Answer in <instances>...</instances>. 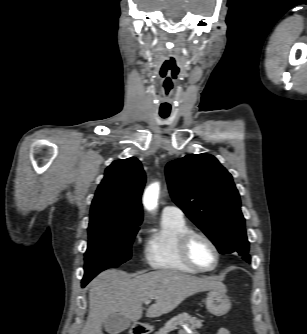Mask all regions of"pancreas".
<instances>
[{"label":"pancreas","instance_id":"obj_1","mask_svg":"<svg viewBox=\"0 0 307 334\" xmlns=\"http://www.w3.org/2000/svg\"><path fill=\"white\" fill-rule=\"evenodd\" d=\"M186 325L190 329H199L202 327V320L192 317L188 313H182L170 319L164 327L160 328L154 334H168L171 331L177 330L179 326Z\"/></svg>","mask_w":307,"mask_h":334}]
</instances>
